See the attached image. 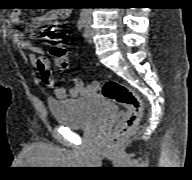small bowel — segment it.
<instances>
[{
  "instance_id": "obj_1",
  "label": "small bowel",
  "mask_w": 192,
  "mask_h": 180,
  "mask_svg": "<svg viewBox=\"0 0 192 180\" xmlns=\"http://www.w3.org/2000/svg\"><path fill=\"white\" fill-rule=\"evenodd\" d=\"M69 14H70L69 9L60 7L46 12L45 14L40 16L38 20L48 24H56L59 21L66 19L69 16ZM10 20L15 25L20 24L21 23L20 12L18 10L13 11L11 13ZM11 37L13 42L16 43L19 47L28 48L39 53L38 49H35L34 47L31 46L30 42L26 39L24 33L17 30H12ZM35 65L37 68L40 81L44 85L52 88L54 95L58 99L75 98L80 95L92 93L97 88L96 84L85 86L81 79H76L75 86L70 90H66L56 85L55 75L51 70L48 59L43 57L36 58Z\"/></svg>"
}]
</instances>
